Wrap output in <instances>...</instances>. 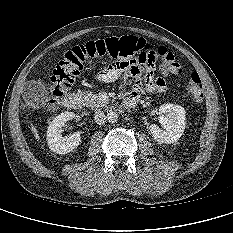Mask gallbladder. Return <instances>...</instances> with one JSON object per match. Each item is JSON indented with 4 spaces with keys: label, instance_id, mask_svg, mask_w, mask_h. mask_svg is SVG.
I'll return each mask as SVG.
<instances>
[{
    "label": "gallbladder",
    "instance_id": "bac80fb5",
    "mask_svg": "<svg viewBox=\"0 0 233 233\" xmlns=\"http://www.w3.org/2000/svg\"><path fill=\"white\" fill-rule=\"evenodd\" d=\"M28 87H32V93L41 100H46L49 98L48 87L41 82H30Z\"/></svg>",
    "mask_w": 233,
    "mask_h": 233
}]
</instances>
